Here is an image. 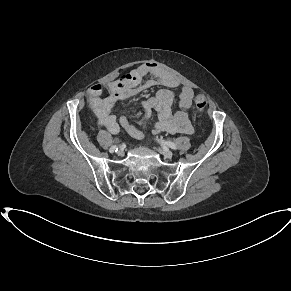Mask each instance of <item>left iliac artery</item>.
Returning a JSON list of instances; mask_svg holds the SVG:
<instances>
[{"label":"left iliac artery","instance_id":"44dca946","mask_svg":"<svg viewBox=\"0 0 291 291\" xmlns=\"http://www.w3.org/2000/svg\"><path fill=\"white\" fill-rule=\"evenodd\" d=\"M159 142H160L162 145H164V146H168V147H170V148L173 149V150H176V149H177L176 144H174V143L171 142V141H165V140L160 139Z\"/></svg>","mask_w":291,"mask_h":291}]
</instances>
